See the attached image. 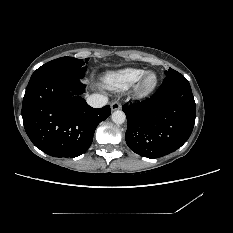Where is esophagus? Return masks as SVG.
<instances>
[{"label": "esophagus", "instance_id": "esophagus-1", "mask_svg": "<svg viewBox=\"0 0 233 233\" xmlns=\"http://www.w3.org/2000/svg\"><path fill=\"white\" fill-rule=\"evenodd\" d=\"M121 108V104L118 101H114L111 103V110L115 111Z\"/></svg>", "mask_w": 233, "mask_h": 233}]
</instances>
